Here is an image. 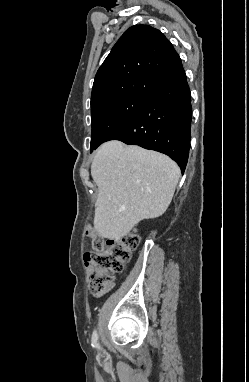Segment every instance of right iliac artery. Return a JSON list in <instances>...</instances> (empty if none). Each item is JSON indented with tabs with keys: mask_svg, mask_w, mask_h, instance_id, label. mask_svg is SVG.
Returning a JSON list of instances; mask_svg holds the SVG:
<instances>
[{
	"mask_svg": "<svg viewBox=\"0 0 249 382\" xmlns=\"http://www.w3.org/2000/svg\"><path fill=\"white\" fill-rule=\"evenodd\" d=\"M92 346L93 347L98 346V335L96 331H94L92 335Z\"/></svg>",
	"mask_w": 249,
	"mask_h": 382,
	"instance_id": "1",
	"label": "right iliac artery"
}]
</instances>
